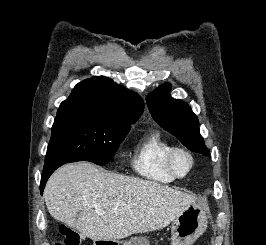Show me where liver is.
Instances as JSON below:
<instances>
[{
	"mask_svg": "<svg viewBox=\"0 0 266 245\" xmlns=\"http://www.w3.org/2000/svg\"><path fill=\"white\" fill-rule=\"evenodd\" d=\"M44 199L53 219L93 241L159 231L195 203L188 193L137 177L103 173L85 161L55 171L47 181Z\"/></svg>",
	"mask_w": 266,
	"mask_h": 245,
	"instance_id": "liver-1",
	"label": "liver"
}]
</instances>
